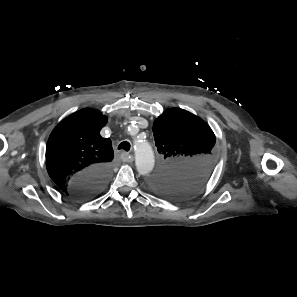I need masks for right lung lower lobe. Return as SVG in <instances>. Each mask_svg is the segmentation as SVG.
Returning a JSON list of instances; mask_svg holds the SVG:
<instances>
[{"label": "right lung lower lobe", "mask_w": 297, "mask_h": 297, "mask_svg": "<svg viewBox=\"0 0 297 297\" xmlns=\"http://www.w3.org/2000/svg\"><path fill=\"white\" fill-rule=\"evenodd\" d=\"M109 177L110 167L108 166L90 168L75 175L64 193L78 200L92 198L103 190Z\"/></svg>", "instance_id": "1"}]
</instances>
